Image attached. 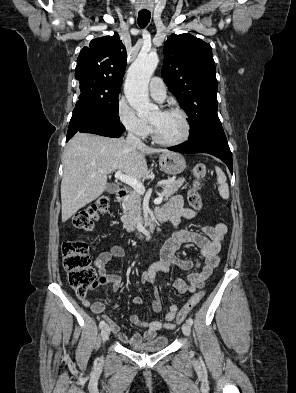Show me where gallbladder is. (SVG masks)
<instances>
[{"mask_svg":"<svg viewBox=\"0 0 296 393\" xmlns=\"http://www.w3.org/2000/svg\"><path fill=\"white\" fill-rule=\"evenodd\" d=\"M118 190V186H116L115 184H108L106 191L110 194H114L116 193Z\"/></svg>","mask_w":296,"mask_h":393,"instance_id":"1","label":"gallbladder"}]
</instances>
